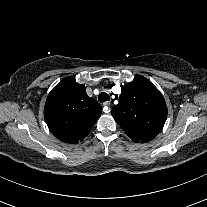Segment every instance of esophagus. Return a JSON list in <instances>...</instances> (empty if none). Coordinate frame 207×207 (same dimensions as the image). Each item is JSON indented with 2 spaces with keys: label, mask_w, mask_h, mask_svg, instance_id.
<instances>
[{
  "label": "esophagus",
  "mask_w": 207,
  "mask_h": 207,
  "mask_svg": "<svg viewBox=\"0 0 207 207\" xmlns=\"http://www.w3.org/2000/svg\"><path fill=\"white\" fill-rule=\"evenodd\" d=\"M110 105H111L110 102H104L103 103V106L106 108V111L104 110L106 113H109L111 111Z\"/></svg>",
  "instance_id": "1"
}]
</instances>
